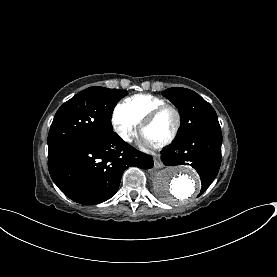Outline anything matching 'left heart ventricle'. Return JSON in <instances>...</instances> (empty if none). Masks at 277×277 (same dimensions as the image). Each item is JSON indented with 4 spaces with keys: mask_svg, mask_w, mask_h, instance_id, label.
Masks as SVG:
<instances>
[{
    "mask_svg": "<svg viewBox=\"0 0 277 277\" xmlns=\"http://www.w3.org/2000/svg\"><path fill=\"white\" fill-rule=\"evenodd\" d=\"M176 123V115L173 110L163 111L159 117L149 125L143 134L154 144L165 140L173 131Z\"/></svg>",
    "mask_w": 277,
    "mask_h": 277,
    "instance_id": "left-heart-ventricle-1",
    "label": "left heart ventricle"
}]
</instances>
